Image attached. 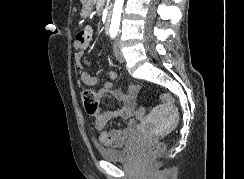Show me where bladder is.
Returning a JSON list of instances; mask_svg holds the SVG:
<instances>
[{"mask_svg":"<svg viewBox=\"0 0 244 179\" xmlns=\"http://www.w3.org/2000/svg\"><path fill=\"white\" fill-rule=\"evenodd\" d=\"M130 152L131 148L129 147V143L127 146L120 149H98L99 156L109 161L127 159Z\"/></svg>","mask_w":244,"mask_h":179,"instance_id":"31cf9c89","label":"bladder"}]
</instances>
